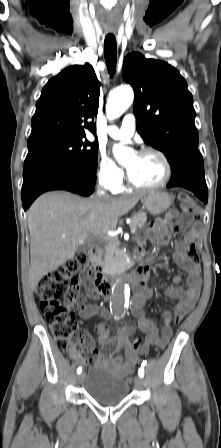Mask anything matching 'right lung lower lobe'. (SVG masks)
<instances>
[{
	"label": "right lung lower lobe",
	"instance_id": "right-lung-lower-lobe-1",
	"mask_svg": "<svg viewBox=\"0 0 221 448\" xmlns=\"http://www.w3.org/2000/svg\"><path fill=\"white\" fill-rule=\"evenodd\" d=\"M96 171L52 157L29 158L24 162L22 203L27 210L42 193L66 190L83 196L93 193Z\"/></svg>",
	"mask_w": 221,
	"mask_h": 448
}]
</instances>
